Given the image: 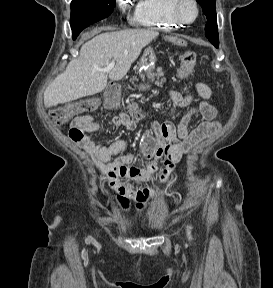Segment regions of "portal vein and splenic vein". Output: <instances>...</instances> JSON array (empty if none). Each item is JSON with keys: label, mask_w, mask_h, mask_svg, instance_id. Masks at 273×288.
Here are the masks:
<instances>
[{"label": "portal vein and splenic vein", "mask_w": 273, "mask_h": 288, "mask_svg": "<svg viewBox=\"0 0 273 288\" xmlns=\"http://www.w3.org/2000/svg\"><path fill=\"white\" fill-rule=\"evenodd\" d=\"M114 66H115V61H112L106 67H104L102 69V71L109 72V71H111L114 68Z\"/></svg>", "instance_id": "1"}]
</instances>
